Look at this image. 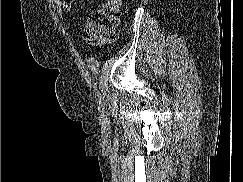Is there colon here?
<instances>
[{
	"mask_svg": "<svg viewBox=\"0 0 243 182\" xmlns=\"http://www.w3.org/2000/svg\"><path fill=\"white\" fill-rule=\"evenodd\" d=\"M73 0H64L66 10H69ZM122 0H105L98 8L89 12L84 37L92 45L106 44L113 41V31L118 25Z\"/></svg>",
	"mask_w": 243,
	"mask_h": 182,
	"instance_id": "obj_1",
	"label": "colon"
}]
</instances>
